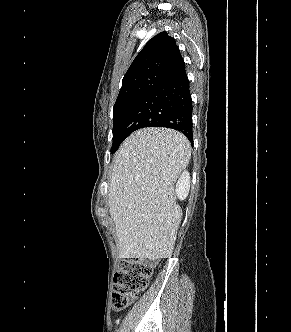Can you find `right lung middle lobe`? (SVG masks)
Instances as JSON below:
<instances>
[{
    "mask_svg": "<svg viewBox=\"0 0 291 332\" xmlns=\"http://www.w3.org/2000/svg\"><path fill=\"white\" fill-rule=\"evenodd\" d=\"M150 91L138 92L119 100H116V103L113 108L114 112V123H113V144L111 147V153H114L119 145L127 137L124 133V127L132 116L134 110L138 104L145 98V96Z\"/></svg>",
    "mask_w": 291,
    "mask_h": 332,
    "instance_id": "1",
    "label": "right lung middle lobe"
}]
</instances>
